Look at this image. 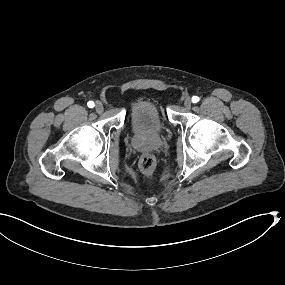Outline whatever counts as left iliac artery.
<instances>
[{
  "label": "left iliac artery",
  "instance_id": "obj_1",
  "mask_svg": "<svg viewBox=\"0 0 285 285\" xmlns=\"http://www.w3.org/2000/svg\"><path fill=\"white\" fill-rule=\"evenodd\" d=\"M199 100H200V99H199L198 96H193V97H192V102H193V103H197Z\"/></svg>",
  "mask_w": 285,
  "mask_h": 285
}]
</instances>
